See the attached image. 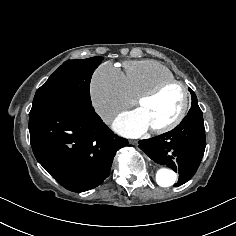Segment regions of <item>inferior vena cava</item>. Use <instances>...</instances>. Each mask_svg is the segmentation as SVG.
<instances>
[{
  "label": "inferior vena cava",
  "instance_id": "602c4592",
  "mask_svg": "<svg viewBox=\"0 0 236 236\" xmlns=\"http://www.w3.org/2000/svg\"><path fill=\"white\" fill-rule=\"evenodd\" d=\"M97 114L105 121H110L114 114V110L111 107H103L97 110Z\"/></svg>",
  "mask_w": 236,
  "mask_h": 236
}]
</instances>
